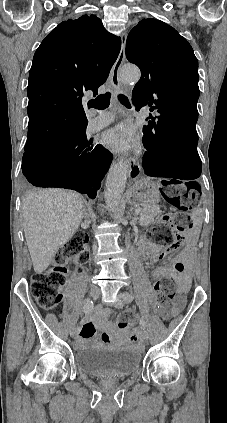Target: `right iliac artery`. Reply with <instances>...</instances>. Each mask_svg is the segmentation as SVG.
Listing matches in <instances>:
<instances>
[{
	"label": "right iliac artery",
	"instance_id": "1",
	"mask_svg": "<svg viewBox=\"0 0 227 423\" xmlns=\"http://www.w3.org/2000/svg\"><path fill=\"white\" fill-rule=\"evenodd\" d=\"M92 309H93V302H92V300L87 299V300L85 301V303H84V306H83V311H84L85 313H90V312L92 311ZM76 331H77L78 333H80L81 328H80V327H77V328H76Z\"/></svg>",
	"mask_w": 227,
	"mask_h": 423
}]
</instances>
